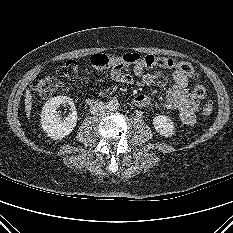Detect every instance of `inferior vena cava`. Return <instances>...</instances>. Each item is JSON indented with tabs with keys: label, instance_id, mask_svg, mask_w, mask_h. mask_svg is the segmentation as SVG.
<instances>
[{
	"label": "inferior vena cava",
	"instance_id": "602c4592",
	"mask_svg": "<svg viewBox=\"0 0 233 233\" xmlns=\"http://www.w3.org/2000/svg\"><path fill=\"white\" fill-rule=\"evenodd\" d=\"M106 110H107V105L101 101H95L90 106V112L93 115H102L106 112Z\"/></svg>",
	"mask_w": 233,
	"mask_h": 233
}]
</instances>
